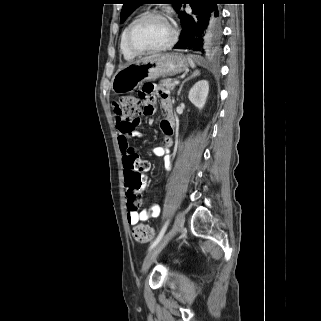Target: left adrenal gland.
Here are the masks:
<instances>
[{
  "label": "left adrenal gland",
  "mask_w": 321,
  "mask_h": 321,
  "mask_svg": "<svg viewBox=\"0 0 321 321\" xmlns=\"http://www.w3.org/2000/svg\"><path fill=\"white\" fill-rule=\"evenodd\" d=\"M200 75V71L196 70L192 73V75H190L189 77H187L186 79H184V81L181 83L180 88L178 90V96L181 93L182 87L184 85L185 82H187L188 80L192 79L193 77L199 76Z\"/></svg>",
  "instance_id": "1"
}]
</instances>
